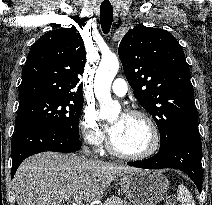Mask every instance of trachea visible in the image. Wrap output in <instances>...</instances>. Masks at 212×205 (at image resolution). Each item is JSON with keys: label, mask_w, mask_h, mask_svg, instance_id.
Segmentation results:
<instances>
[{"label": "trachea", "mask_w": 212, "mask_h": 205, "mask_svg": "<svg viewBox=\"0 0 212 205\" xmlns=\"http://www.w3.org/2000/svg\"><path fill=\"white\" fill-rule=\"evenodd\" d=\"M113 21V8L111 4H102L100 6V22L102 31L107 34L110 31Z\"/></svg>", "instance_id": "obj_1"}]
</instances>
